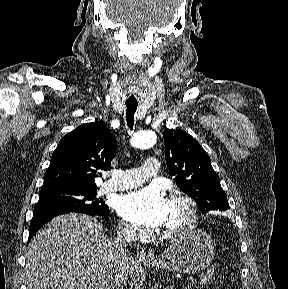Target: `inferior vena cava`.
Listing matches in <instances>:
<instances>
[{
  "label": "inferior vena cava",
  "instance_id": "1",
  "mask_svg": "<svg viewBox=\"0 0 288 289\" xmlns=\"http://www.w3.org/2000/svg\"><path fill=\"white\" fill-rule=\"evenodd\" d=\"M137 237V229L129 224L117 226V236L110 241V261L96 278L94 289H117L127 260V245Z\"/></svg>",
  "mask_w": 288,
  "mask_h": 289
}]
</instances>
